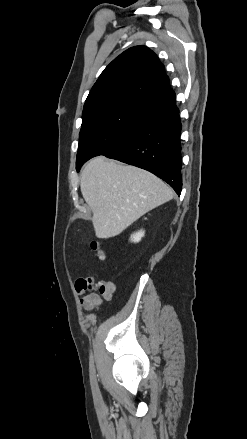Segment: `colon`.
<instances>
[{
  "instance_id": "colon-1",
  "label": "colon",
  "mask_w": 247,
  "mask_h": 439,
  "mask_svg": "<svg viewBox=\"0 0 247 439\" xmlns=\"http://www.w3.org/2000/svg\"><path fill=\"white\" fill-rule=\"evenodd\" d=\"M91 248L93 249V251L95 252L96 256H97L99 259L103 260V259L105 258V256H104V252H103V250L101 249V246H100V243H99V242H97V241H93L92 244H91Z\"/></svg>"
}]
</instances>
